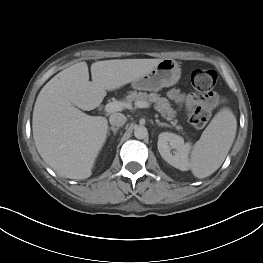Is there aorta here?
Returning <instances> with one entry per match:
<instances>
[{
	"instance_id": "1",
	"label": "aorta",
	"mask_w": 263,
	"mask_h": 263,
	"mask_svg": "<svg viewBox=\"0 0 263 263\" xmlns=\"http://www.w3.org/2000/svg\"><path fill=\"white\" fill-rule=\"evenodd\" d=\"M134 136L137 139H144L148 136V130L145 126H137L134 129Z\"/></svg>"
}]
</instances>
